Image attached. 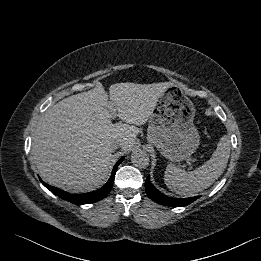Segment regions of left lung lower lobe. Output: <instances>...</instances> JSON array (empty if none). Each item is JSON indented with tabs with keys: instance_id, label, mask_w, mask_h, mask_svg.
Segmentation results:
<instances>
[{
	"instance_id": "0a47b994",
	"label": "left lung lower lobe",
	"mask_w": 261,
	"mask_h": 261,
	"mask_svg": "<svg viewBox=\"0 0 261 261\" xmlns=\"http://www.w3.org/2000/svg\"><path fill=\"white\" fill-rule=\"evenodd\" d=\"M145 190L147 195L154 200L155 202L166 205V206H173V207H179V206H186L195 200H197L200 196H195L191 198H183V199H176L171 198L163 195L160 191H158L150 182L149 176L146 179L145 182Z\"/></svg>"
}]
</instances>
